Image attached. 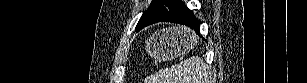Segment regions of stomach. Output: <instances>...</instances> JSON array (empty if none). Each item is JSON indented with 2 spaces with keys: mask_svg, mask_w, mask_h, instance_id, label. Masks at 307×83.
<instances>
[{
  "mask_svg": "<svg viewBox=\"0 0 307 83\" xmlns=\"http://www.w3.org/2000/svg\"><path fill=\"white\" fill-rule=\"evenodd\" d=\"M197 44L190 30L180 27L156 32L146 42V52L157 60H169L188 52Z\"/></svg>",
  "mask_w": 307,
  "mask_h": 83,
  "instance_id": "obj_1",
  "label": "stomach"
}]
</instances>
